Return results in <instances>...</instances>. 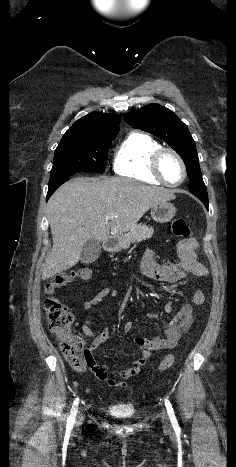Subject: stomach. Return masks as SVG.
Here are the masks:
<instances>
[{"mask_svg":"<svg viewBox=\"0 0 236 467\" xmlns=\"http://www.w3.org/2000/svg\"><path fill=\"white\" fill-rule=\"evenodd\" d=\"M176 213V208L170 202H160L151 208V216L157 223H166L173 219ZM119 251V247L114 248Z\"/></svg>","mask_w":236,"mask_h":467,"instance_id":"obj_1","label":"stomach"}]
</instances>
